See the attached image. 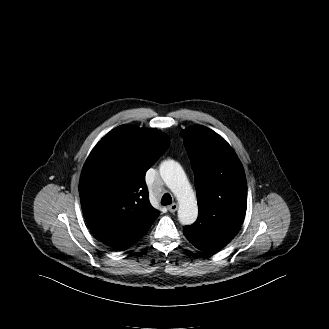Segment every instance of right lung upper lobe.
<instances>
[{"mask_svg": "<svg viewBox=\"0 0 329 329\" xmlns=\"http://www.w3.org/2000/svg\"><path fill=\"white\" fill-rule=\"evenodd\" d=\"M169 145L156 129L121 125L90 153L79 182L81 206L89 228L106 245H133L159 216L145 174Z\"/></svg>", "mask_w": 329, "mask_h": 329, "instance_id": "1", "label": "right lung upper lobe"}]
</instances>
